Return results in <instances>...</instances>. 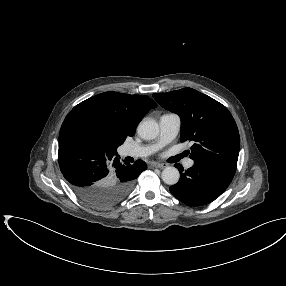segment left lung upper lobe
<instances>
[{"label":"left lung upper lobe","instance_id":"5c2ea615","mask_svg":"<svg viewBox=\"0 0 286 286\" xmlns=\"http://www.w3.org/2000/svg\"><path fill=\"white\" fill-rule=\"evenodd\" d=\"M154 99L181 119V141H193L194 164L235 174L240 149L237 125L228 109L192 88L155 93Z\"/></svg>","mask_w":286,"mask_h":286}]
</instances>
